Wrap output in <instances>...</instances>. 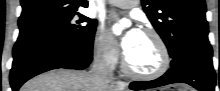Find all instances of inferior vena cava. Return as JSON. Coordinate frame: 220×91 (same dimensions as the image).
Segmentation results:
<instances>
[{
    "instance_id": "obj_1",
    "label": "inferior vena cava",
    "mask_w": 220,
    "mask_h": 91,
    "mask_svg": "<svg viewBox=\"0 0 220 91\" xmlns=\"http://www.w3.org/2000/svg\"><path fill=\"white\" fill-rule=\"evenodd\" d=\"M106 52L100 53L94 59L89 72L90 78L95 85V91H102L113 82V68L105 59Z\"/></svg>"
}]
</instances>
